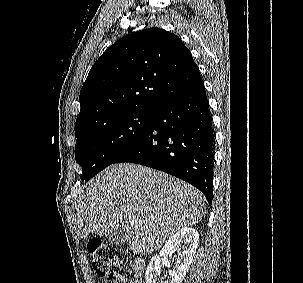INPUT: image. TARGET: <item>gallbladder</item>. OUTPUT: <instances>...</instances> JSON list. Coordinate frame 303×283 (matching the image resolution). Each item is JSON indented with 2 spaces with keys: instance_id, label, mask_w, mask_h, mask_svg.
Segmentation results:
<instances>
[{
  "instance_id": "gallbladder-1",
  "label": "gallbladder",
  "mask_w": 303,
  "mask_h": 283,
  "mask_svg": "<svg viewBox=\"0 0 303 283\" xmlns=\"http://www.w3.org/2000/svg\"><path fill=\"white\" fill-rule=\"evenodd\" d=\"M125 233V228L120 227L117 232L108 237L109 241H111L114 245H121L123 242V236Z\"/></svg>"
}]
</instances>
